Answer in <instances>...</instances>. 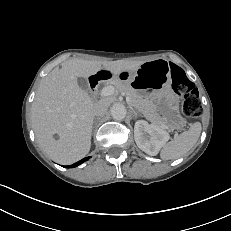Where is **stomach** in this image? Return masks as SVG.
I'll use <instances>...</instances> for the list:
<instances>
[{
  "label": "stomach",
  "instance_id": "1",
  "mask_svg": "<svg viewBox=\"0 0 231 231\" xmlns=\"http://www.w3.org/2000/svg\"><path fill=\"white\" fill-rule=\"evenodd\" d=\"M128 81L150 99L151 108L163 126L177 130L186 126L179 111V97L171 88L170 66L166 60L143 62L135 72L129 73Z\"/></svg>",
  "mask_w": 231,
  "mask_h": 231
}]
</instances>
